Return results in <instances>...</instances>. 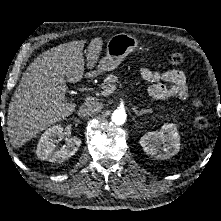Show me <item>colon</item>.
I'll return each mask as SVG.
<instances>
[{"instance_id": "1", "label": "colon", "mask_w": 221, "mask_h": 221, "mask_svg": "<svg viewBox=\"0 0 221 221\" xmlns=\"http://www.w3.org/2000/svg\"><path fill=\"white\" fill-rule=\"evenodd\" d=\"M184 55L182 53H179V52H176V53H172L169 55L168 57V61L171 65L173 66H180L184 63ZM202 100L199 96L198 93H196L194 95V100H193V106L196 108V109H199L202 107ZM194 123L197 127L199 128H205L208 126L209 124V121L206 117H204L203 115L201 114H196L194 116Z\"/></svg>"}]
</instances>
